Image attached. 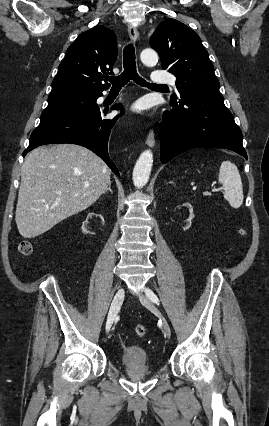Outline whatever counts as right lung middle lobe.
I'll return each instance as SVG.
<instances>
[{
    "instance_id": "obj_1",
    "label": "right lung middle lobe",
    "mask_w": 269,
    "mask_h": 426,
    "mask_svg": "<svg viewBox=\"0 0 269 426\" xmlns=\"http://www.w3.org/2000/svg\"><path fill=\"white\" fill-rule=\"evenodd\" d=\"M97 97L98 93L74 90L51 92L48 106L41 114V121L87 108L96 102Z\"/></svg>"
}]
</instances>
